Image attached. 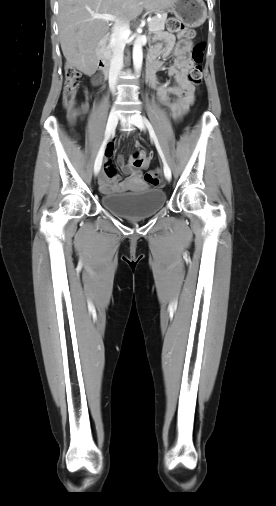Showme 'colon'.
I'll return each mask as SVG.
<instances>
[{"label": "colon", "instance_id": "5ec220e1", "mask_svg": "<svg viewBox=\"0 0 276 506\" xmlns=\"http://www.w3.org/2000/svg\"><path fill=\"white\" fill-rule=\"evenodd\" d=\"M167 29L172 33H178L182 36L188 34L182 22L175 17H171L168 20ZM190 35L192 37L194 35L193 32H190ZM204 48V42H197L192 47L191 58L193 65L188 72V80L196 86L202 82ZM80 76V72L76 68L71 65L66 66L62 101L71 121H74L79 113V109L76 108V96L79 89ZM144 179L151 185H158L161 181V174L158 170L150 171L145 174Z\"/></svg>", "mask_w": 276, "mask_h": 506}]
</instances>
